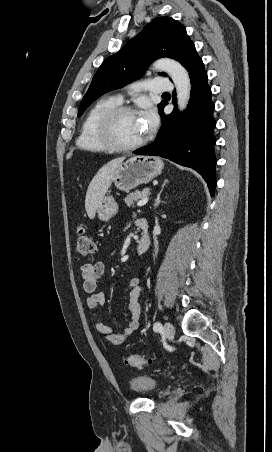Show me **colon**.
<instances>
[{"instance_id":"obj_1","label":"colon","mask_w":272,"mask_h":452,"mask_svg":"<svg viewBox=\"0 0 272 452\" xmlns=\"http://www.w3.org/2000/svg\"><path fill=\"white\" fill-rule=\"evenodd\" d=\"M76 255L78 259H88L95 252V244L87 230L80 226L77 230ZM126 363L137 368H142L150 363V359L138 354H130Z\"/></svg>"}]
</instances>
